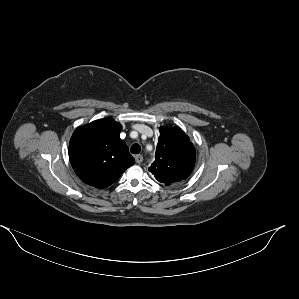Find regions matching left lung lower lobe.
Listing matches in <instances>:
<instances>
[{
    "label": "left lung lower lobe",
    "mask_w": 299,
    "mask_h": 299,
    "mask_svg": "<svg viewBox=\"0 0 299 299\" xmlns=\"http://www.w3.org/2000/svg\"><path fill=\"white\" fill-rule=\"evenodd\" d=\"M171 183H166V185H170Z\"/></svg>",
    "instance_id": "left-lung-lower-lobe-1"
}]
</instances>
